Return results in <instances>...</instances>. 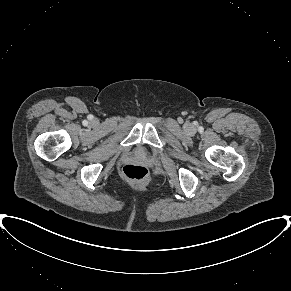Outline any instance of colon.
I'll use <instances>...</instances> for the list:
<instances>
[{
	"label": "colon",
	"instance_id": "obj_1",
	"mask_svg": "<svg viewBox=\"0 0 291 291\" xmlns=\"http://www.w3.org/2000/svg\"><path fill=\"white\" fill-rule=\"evenodd\" d=\"M124 176L132 182H145L148 178V170L142 165L127 164L123 167Z\"/></svg>",
	"mask_w": 291,
	"mask_h": 291
}]
</instances>
